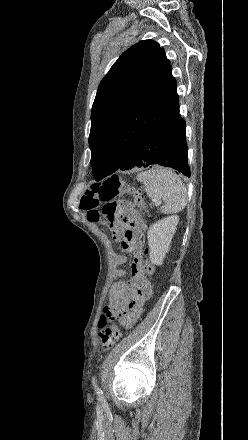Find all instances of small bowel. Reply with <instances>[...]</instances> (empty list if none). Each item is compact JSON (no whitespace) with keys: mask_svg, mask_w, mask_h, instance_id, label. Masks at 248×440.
<instances>
[{"mask_svg":"<svg viewBox=\"0 0 248 440\" xmlns=\"http://www.w3.org/2000/svg\"><path fill=\"white\" fill-rule=\"evenodd\" d=\"M123 208L127 215L126 220L123 223H115L112 230L117 236H122V250L131 253L134 257L131 265L132 276L129 284L118 282L112 288L107 309L116 312L124 324V330L129 331L133 324L137 323L146 300L151 296L152 289L143 275L141 238L145 226L135 217L129 203L124 202ZM126 260V256L123 255L115 257V263L118 265L125 263Z\"/></svg>","mask_w":248,"mask_h":440,"instance_id":"1","label":"small bowel"}]
</instances>
